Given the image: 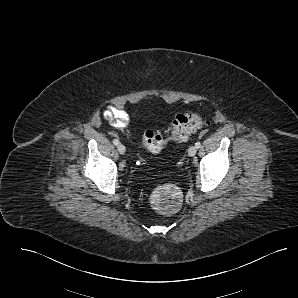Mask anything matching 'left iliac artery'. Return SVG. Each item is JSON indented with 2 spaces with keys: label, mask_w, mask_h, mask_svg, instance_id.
<instances>
[{
  "label": "left iliac artery",
  "mask_w": 298,
  "mask_h": 298,
  "mask_svg": "<svg viewBox=\"0 0 298 298\" xmlns=\"http://www.w3.org/2000/svg\"><path fill=\"white\" fill-rule=\"evenodd\" d=\"M200 146H201V142L197 141V142L195 143V147H196V148H200Z\"/></svg>",
  "instance_id": "44dca946"
}]
</instances>
